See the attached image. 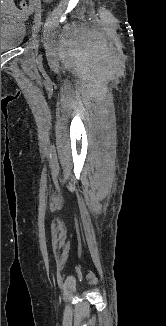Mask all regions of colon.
<instances>
[{
  "label": "colon",
  "mask_w": 166,
  "mask_h": 326,
  "mask_svg": "<svg viewBox=\"0 0 166 326\" xmlns=\"http://www.w3.org/2000/svg\"><path fill=\"white\" fill-rule=\"evenodd\" d=\"M19 7L23 14H27L30 11V4L24 0L20 2Z\"/></svg>",
  "instance_id": "1"
}]
</instances>
